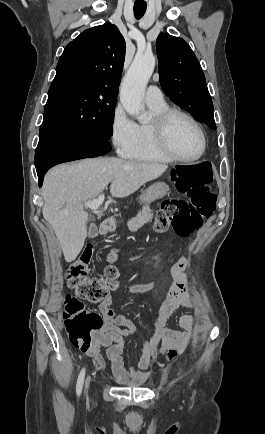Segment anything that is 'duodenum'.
<instances>
[{
    "mask_svg": "<svg viewBox=\"0 0 265 434\" xmlns=\"http://www.w3.org/2000/svg\"><path fill=\"white\" fill-rule=\"evenodd\" d=\"M113 230H114V225L110 221H105L100 228V231L102 233H110Z\"/></svg>",
    "mask_w": 265,
    "mask_h": 434,
    "instance_id": "1",
    "label": "duodenum"
}]
</instances>
